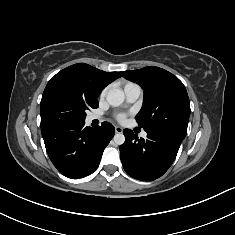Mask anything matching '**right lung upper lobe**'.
Segmentation results:
<instances>
[{
	"instance_id": "1",
	"label": "right lung upper lobe",
	"mask_w": 235,
	"mask_h": 235,
	"mask_svg": "<svg viewBox=\"0 0 235 235\" xmlns=\"http://www.w3.org/2000/svg\"><path fill=\"white\" fill-rule=\"evenodd\" d=\"M119 77L118 72H104L88 64L78 63L61 70L49 82H62L87 103L98 105L97 97L101 91Z\"/></svg>"
}]
</instances>
